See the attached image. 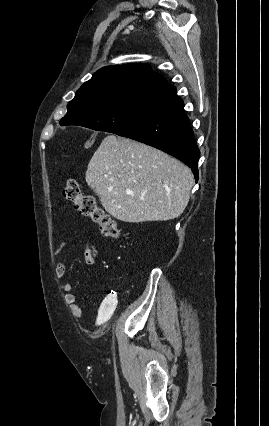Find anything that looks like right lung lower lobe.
I'll return each mask as SVG.
<instances>
[{"label":"right lung lower lobe","mask_w":269,"mask_h":426,"mask_svg":"<svg viewBox=\"0 0 269 426\" xmlns=\"http://www.w3.org/2000/svg\"><path fill=\"white\" fill-rule=\"evenodd\" d=\"M115 134L160 149L189 166L198 181L200 151L184 103L176 88L165 89L152 109L132 126Z\"/></svg>","instance_id":"right-lung-lower-lobe-1"}]
</instances>
